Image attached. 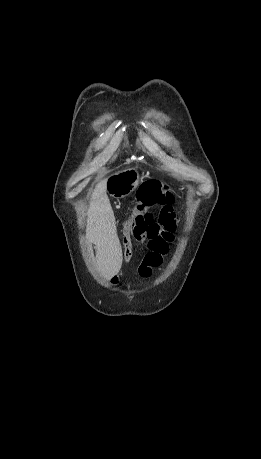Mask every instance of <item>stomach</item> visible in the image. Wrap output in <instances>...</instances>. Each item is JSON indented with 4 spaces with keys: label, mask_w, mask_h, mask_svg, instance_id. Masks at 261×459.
<instances>
[{
    "label": "stomach",
    "mask_w": 261,
    "mask_h": 459,
    "mask_svg": "<svg viewBox=\"0 0 261 459\" xmlns=\"http://www.w3.org/2000/svg\"><path fill=\"white\" fill-rule=\"evenodd\" d=\"M139 178V172L135 168L118 171L107 178L106 192L113 198H124L137 188Z\"/></svg>",
    "instance_id": "1"
}]
</instances>
